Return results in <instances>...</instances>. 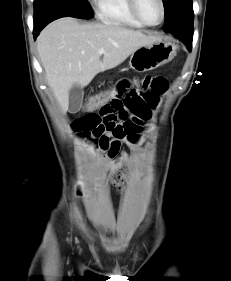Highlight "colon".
<instances>
[{
    "label": "colon",
    "mask_w": 231,
    "mask_h": 281,
    "mask_svg": "<svg viewBox=\"0 0 231 281\" xmlns=\"http://www.w3.org/2000/svg\"><path fill=\"white\" fill-rule=\"evenodd\" d=\"M115 91L113 88H109L101 93H98L94 96H92L85 104V108L87 110H96L99 109L100 107L104 106L105 104L109 103L114 96ZM111 182L116 186V187H121L124 184L125 181V176L122 170L117 167L114 168L111 171L110 174Z\"/></svg>",
    "instance_id": "colon-1"
}]
</instances>
